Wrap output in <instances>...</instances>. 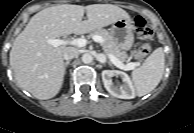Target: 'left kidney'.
<instances>
[{"instance_id":"left-kidney-1","label":"left kidney","mask_w":194,"mask_h":133,"mask_svg":"<svg viewBox=\"0 0 194 133\" xmlns=\"http://www.w3.org/2000/svg\"><path fill=\"white\" fill-rule=\"evenodd\" d=\"M113 76H120L123 84L115 86L111 78ZM102 80L106 90L113 96L121 99H132L135 97V90L129 76L117 70H104L102 71Z\"/></svg>"}]
</instances>
